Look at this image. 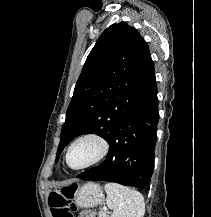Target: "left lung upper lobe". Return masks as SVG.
Returning <instances> with one entry per match:
<instances>
[{
	"label": "left lung upper lobe",
	"instance_id": "1",
	"mask_svg": "<svg viewBox=\"0 0 211 217\" xmlns=\"http://www.w3.org/2000/svg\"><path fill=\"white\" fill-rule=\"evenodd\" d=\"M156 87L154 63L139 32L112 24L88 55L61 130L56 162L74 137L95 133L107 141L115 126Z\"/></svg>",
	"mask_w": 211,
	"mask_h": 217
}]
</instances>
